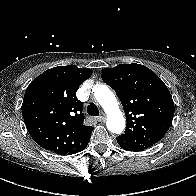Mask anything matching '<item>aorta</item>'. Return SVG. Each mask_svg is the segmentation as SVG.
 <instances>
[{"label":"aorta","instance_id":"1","mask_svg":"<svg viewBox=\"0 0 196 196\" xmlns=\"http://www.w3.org/2000/svg\"><path fill=\"white\" fill-rule=\"evenodd\" d=\"M94 96L107 114V128L115 134H121L125 128V118L119 109L118 101L106 85H95Z\"/></svg>","mask_w":196,"mask_h":196}]
</instances>
